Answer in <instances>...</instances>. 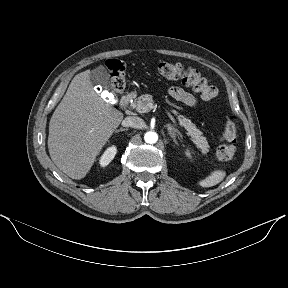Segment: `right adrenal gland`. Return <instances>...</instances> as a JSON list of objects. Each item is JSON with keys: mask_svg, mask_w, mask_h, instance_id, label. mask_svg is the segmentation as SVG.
<instances>
[{"mask_svg": "<svg viewBox=\"0 0 288 288\" xmlns=\"http://www.w3.org/2000/svg\"><path fill=\"white\" fill-rule=\"evenodd\" d=\"M127 129H124V128H120L118 130H116L115 132L118 133V132H122V131H126Z\"/></svg>", "mask_w": 288, "mask_h": 288, "instance_id": "2a0ac1e0", "label": "right adrenal gland"}]
</instances>
